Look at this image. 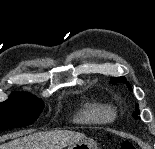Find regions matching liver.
<instances>
[{
  "instance_id": "1",
  "label": "liver",
  "mask_w": 155,
  "mask_h": 149,
  "mask_svg": "<svg viewBox=\"0 0 155 149\" xmlns=\"http://www.w3.org/2000/svg\"><path fill=\"white\" fill-rule=\"evenodd\" d=\"M86 136L83 133L54 130L25 135L0 145V149H63Z\"/></svg>"
}]
</instances>
